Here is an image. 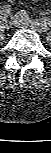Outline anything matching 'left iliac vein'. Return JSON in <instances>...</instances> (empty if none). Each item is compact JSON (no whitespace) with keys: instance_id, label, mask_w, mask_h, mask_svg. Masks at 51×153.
<instances>
[{"instance_id":"obj_1","label":"left iliac vein","mask_w":51,"mask_h":153,"mask_svg":"<svg viewBox=\"0 0 51 153\" xmlns=\"http://www.w3.org/2000/svg\"><path fill=\"white\" fill-rule=\"evenodd\" d=\"M12 18V22L16 27H30L33 30H36L38 32H42V30L44 31L45 29H43L42 27L38 26V25H34L31 24L28 20H24V18L21 17V12L15 14L14 16L11 17Z\"/></svg>"}]
</instances>
